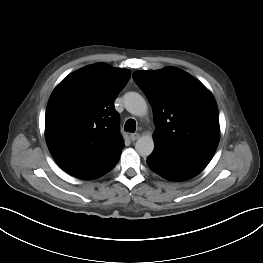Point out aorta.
Segmentation results:
<instances>
[{"label": "aorta", "instance_id": "aorta-1", "mask_svg": "<svg viewBox=\"0 0 263 263\" xmlns=\"http://www.w3.org/2000/svg\"><path fill=\"white\" fill-rule=\"evenodd\" d=\"M125 109L135 115L144 116L147 113V103L145 99L136 92H128L124 96ZM135 149L142 157L149 156L154 150V140L151 135L141 136L135 144Z\"/></svg>", "mask_w": 263, "mask_h": 263}]
</instances>
